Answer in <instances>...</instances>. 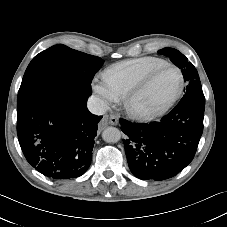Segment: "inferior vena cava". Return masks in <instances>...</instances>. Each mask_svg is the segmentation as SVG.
<instances>
[{
  "label": "inferior vena cava",
  "mask_w": 227,
  "mask_h": 227,
  "mask_svg": "<svg viewBox=\"0 0 227 227\" xmlns=\"http://www.w3.org/2000/svg\"><path fill=\"white\" fill-rule=\"evenodd\" d=\"M87 108L91 113L95 115H103L108 111L109 106L106 101L92 95L87 101Z\"/></svg>",
  "instance_id": "1"
}]
</instances>
